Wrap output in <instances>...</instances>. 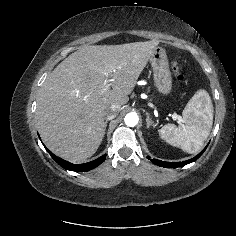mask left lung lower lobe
Masks as SVG:
<instances>
[{
  "mask_svg": "<svg viewBox=\"0 0 236 236\" xmlns=\"http://www.w3.org/2000/svg\"><path fill=\"white\" fill-rule=\"evenodd\" d=\"M207 146L197 155L195 156L194 158L192 159H189V160H186V161H183V162H163V161H160V160H156V159H151V161L158 165V166H161V167H165V168H176V167H181V166H185L191 162H194L195 160H197L203 153L204 151L206 150ZM148 159H150V157L148 156L147 157Z\"/></svg>",
  "mask_w": 236,
  "mask_h": 236,
  "instance_id": "obj_1",
  "label": "left lung lower lobe"
}]
</instances>
